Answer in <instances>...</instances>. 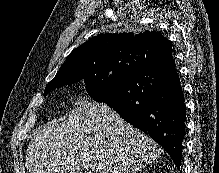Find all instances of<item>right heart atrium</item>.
<instances>
[{
	"label": "right heart atrium",
	"instance_id": "1",
	"mask_svg": "<svg viewBox=\"0 0 219 173\" xmlns=\"http://www.w3.org/2000/svg\"><path fill=\"white\" fill-rule=\"evenodd\" d=\"M75 103L78 105H86L89 103V96L86 92H79L76 94Z\"/></svg>",
	"mask_w": 219,
	"mask_h": 173
}]
</instances>
